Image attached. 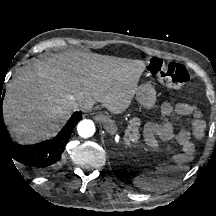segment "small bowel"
Wrapping results in <instances>:
<instances>
[{
	"instance_id": "1",
	"label": "small bowel",
	"mask_w": 216,
	"mask_h": 216,
	"mask_svg": "<svg viewBox=\"0 0 216 216\" xmlns=\"http://www.w3.org/2000/svg\"><path fill=\"white\" fill-rule=\"evenodd\" d=\"M193 111V107L190 104L182 103L178 105L177 112L181 115H190ZM165 121L159 127V134L161 138L168 139L173 135V124L170 120L172 116V109L167 108L164 111ZM204 132V123L201 120H194L192 122V133L196 138H201ZM183 151L187 154H191L194 150V146L190 141V134L188 131H180L176 136Z\"/></svg>"
}]
</instances>
